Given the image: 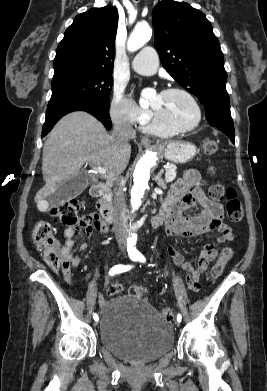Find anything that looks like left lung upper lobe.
Returning <instances> with one entry per match:
<instances>
[{"instance_id": "1", "label": "left lung upper lobe", "mask_w": 267, "mask_h": 391, "mask_svg": "<svg viewBox=\"0 0 267 391\" xmlns=\"http://www.w3.org/2000/svg\"><path fill=\"white\" fill-rule=\"evenodd\" d=\"M152 23L166 71L203 105L229 101L224 56L206 16L185 2L163 0L153 9Z\"/></svg>"}]
</instances>
